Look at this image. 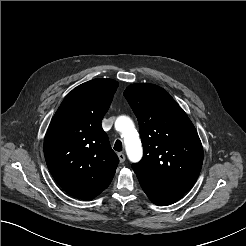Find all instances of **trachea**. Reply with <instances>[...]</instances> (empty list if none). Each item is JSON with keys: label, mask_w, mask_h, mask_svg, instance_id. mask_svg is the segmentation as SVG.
<instances>
[{"label": "trachea", "mask_w": 246, "mask_h": 246, "mask_svg": "<svg viewBox=\"0 0 246 246\" xmlns=\"http://www.w3.org/2000/svg\"><path fill=\"white\" fill-rule=\"evenodd\" d=\"M114 150H116V151H122V142L120 140H117L115 142Z\"/></svg>", "instance_id": "trachea-1"}]
</instances>
